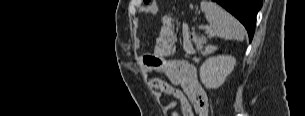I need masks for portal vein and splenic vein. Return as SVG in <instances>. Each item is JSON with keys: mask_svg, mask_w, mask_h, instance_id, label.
Here are the masks:
<instances>
[{"mask_svg": "<svg viewBox=\"0 0 305 116\" xmlns=\"http://www.w3.org/2000/svg\"><path fill=\"white\" fill-rule=\"evenodd\" d=\"M210 27L208 25H201L199 26V29H209Z\"/></svg>", "mask_w": 305, "mask_h": 116, "instance_id": "portal-vein-and-splenic-vein-1", "label": "portal vein and splenic vein"}]
</instances>
